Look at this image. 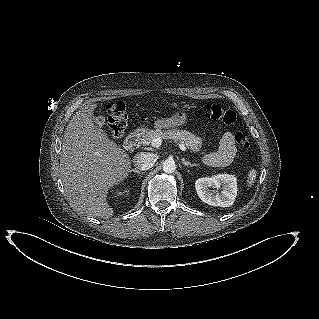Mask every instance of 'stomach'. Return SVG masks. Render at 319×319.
Wrapping results in <instances>:
<instances>
[{"label":"stomach","mask_w":319,"mask_h":319,"mask_svg":"<svg viewBox=\"0 0 319 319\" xmlns=\"http://www.w3.org/2000/svg\"><path fill=\"white\" fill-rule=\"evenodd\" d=\"M186 108H178L171 116L159 118L155 121L154 126L157 129H177L186 124L188 117Z\"/></svg>","instance_id":"1"}]
</instances>
